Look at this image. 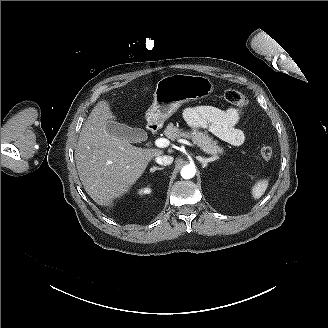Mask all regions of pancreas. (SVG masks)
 <instances>
[{"instance_id": "1", "label": "pancreas", "mask_w": 328, "mask_h": 328, "mask_svg": "<svg viewBox=\"0 0 328 328\" xmlns=\"http://www.w3.org/2000/svg\"><path fill=\"white\" fill-rule=\"evenodd\" d=\"M164 135L171 140H179L180 138L191 139L205 153L211 154L213 160H217L219 158L218 154H223L224 152V149L217 145L218 142L213 140L207 131L200 132L193 130L191 132H182L173 123H169L164 130Z\"/></svg>"}]
</instances>
